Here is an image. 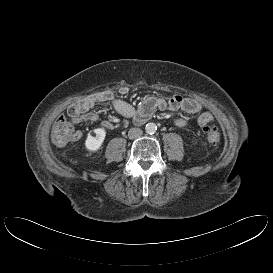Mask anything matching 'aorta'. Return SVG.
I'll use <instances>...</instances> for the list:
<instances>
[{
    "mask_svg": "<svg viewBox=\"0 0 273 273\" xmlns=\"http://www.w3.org/2000/svg\"><path fill=\"white\" fill-rule=\"evenodd\" d=\"M145 130L148 134H154L157 130V126L155 123L150 122L146 124Z\"/></svg>",
    "mask_w": 273,
    "mask_h": 273,
    "instance_id": "1",
    "label": "aorta"
}]
</instances>
